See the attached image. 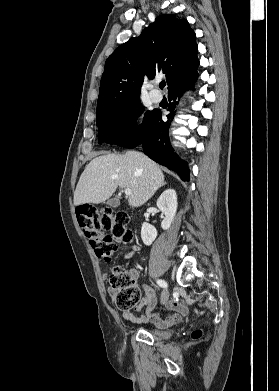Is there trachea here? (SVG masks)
I'll return each mask as SVG.
<instances>
[{
	"mask_svg": "<svg viewBox=\"0 0 279 391\" xmlns=\"http://www.w3.org/2000/svg\"><path fill=\"white\" fill-rule=\"evenodd\" d=\"M165 85H166L165 81H162V82L160 83V88L163 89V88L165 87Z\"/></svg>",
	"mask_w": 279,
	"mask_h": 391,
	"instance_id": "3493384b",
	"label": "trachea"
}]
</instances>
